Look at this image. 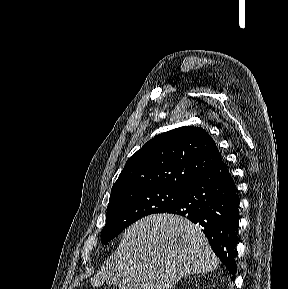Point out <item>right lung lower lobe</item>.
I'll return each mask as SVG.
<instances>
[{
  "mask_svg": "<svg viewBox=\"0 0 288 289\" xmlns=\"http://www.w3.org/2000/svg\"><path fill=\"white\" fill-rule=\"evenodd\" d=\"M166 212L187 217L200 225L233 280L237 269L234 255L238 242V198L225 163L219 162L195 179L181 199Z\"/></svg>",
  "mask_w": 288,
  "mask_h": 289,
  "instance_id": "obj_1",
  "label": "right lung lower lobe"
}]
</instances>
